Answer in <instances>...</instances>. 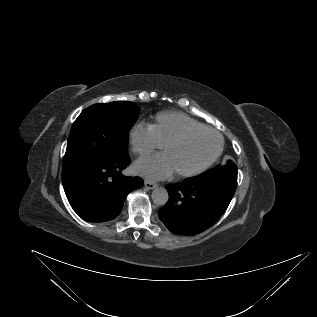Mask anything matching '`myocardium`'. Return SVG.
Wrapping results in <instances>:
<instances>
[{
    "label": "myocardium",
    "instance_id": "f54148a6",
    "mask_svg": "<svg viewBox=\"0 0 317 317\" xmlns=\"http://www.w3.org/2000/svg\"><path fill=\"white\" fill-rule=\"evenodd\" d=\"M200 132H211L214 133L215 135L218 136L219 138V145L217 150L215 151V153L207 160L205 161L203 164H201L200 166L188 170V171H183V172H175V175L177 177L180 178H186V177H192L195 175H198L202 172H204L205 170H207L211 165H213L215 163V161L219 158V156L221 155L223 148H224V138L222 136V134L211 127H197V128H188L184 131H182L181 133L177 134L176 136L170 138L168 141H166L163 144V151H165L167 148L177 145L179 143H181L182 141H184L186 138H188L189 136L196 134V133H200Z\"/></svg>",
    "mask_w": 317,
    "mask_h": 317
}]
</instances>
